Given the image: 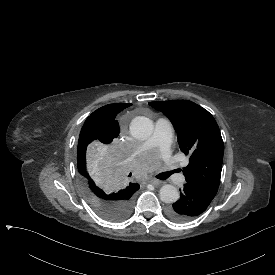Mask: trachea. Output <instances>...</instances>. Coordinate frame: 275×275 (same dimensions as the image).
I'll return each mask as SVG.
<instances>
[{
    "mask_svg": "<svg viewBox=\"0 0 275 275\" xmlns=\"http://www.w3.org/2000/svg\"><path fill=\"white\" fill-rule=\"evenodd\" d=\"M177 170H172V171H167V172H163L158 174L156 177L160 180H165L167 179L170 175H172L173 173H176ZM132 174L130 173L128 176L130 177Z\"/></svg>",
    "mask_w": 275,
    "mask_h": 275,
    "instance_id": "obj_1",
    "label": "trachea"
}]
</instances>
